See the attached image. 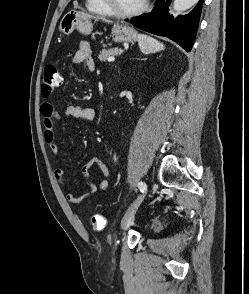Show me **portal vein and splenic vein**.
Segmentation results:
<instances>
[{
    "label": "portal vein and splenic vein",
    "mask_w": 249,
    "mask_h": 294,
    "mask_svg": "<svg viewBox=\"0 0 249 294\" xmlns=\"http://www.w3.org/2000/svg\"><path fill=\"white\" fill-rule=\"evenodd\" d=\"M114 60H115L114 57H109V58H107V61H108V62H113Z\"/></svg>",
    "instance_id": "obj_1"
}]
</instances>
